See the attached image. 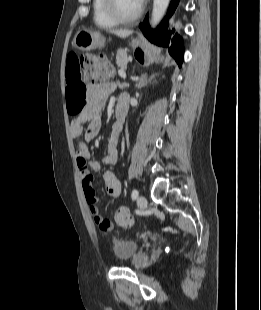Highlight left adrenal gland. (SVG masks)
<instances>
[{
	"label": "left adrenal gland",
	"instance_id": "a2214340",
	"mask_svg": "<svg viewBox=\"0 0 261 310\" xmlns=\"http://www.w3.org/2000/svg\"><path fill=\"white\" fill-rule=\"evenodd\" d=\"M158 76V74H153L151 75L149 78L147 77V74H143L140 78V80L138 81V83L136 84V87L138 89H141L142 87H146L148 84H151L152 81L154 82L155 77Z\"/></svg>",
	"mask_w": 261,
	"mask_h": 310
}]
</instances>
